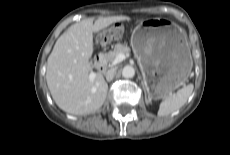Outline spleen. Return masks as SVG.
<instances>
[{
    "instance_id": "spleen-1",
    "label": "spleen",
    "mask_w": 230,
    "mask_h": 155,
    "mask_svg": "<svg viewBox=\"0 0 230 155\" xmlns=\"http://www.w3.org/2000/svg\"><path fill=\"white\" fill-rule=\"evenodd\" d=\"M194 86L189 84L179 89L174 96L166 97L159 106L158 116H167L179 110L192 94Z\"/></svg>"
}]
</instances>
